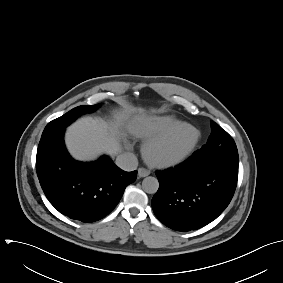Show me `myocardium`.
<instances>
[{"instance_id":"1","label":"myocardium","mask_w":283,"mask_h":283,"mask_svg":"<svg viewBox=\"0 0 283 283\" xmlns=\"http://www.w3.org/2000/svg\"><path fill=\"white\" fill-rule=\"evenodd\" d=\"M184 129H188L193 133L191 142L174 155L164 154V147L168 145L174 139V137ZM200 138V131L195 126L183 122L164 135L146 142L143 147V154L146 160L154 166L161 168L174 167L184 162L194 152L198 146Z\"/></svg>"}]
</instances>
